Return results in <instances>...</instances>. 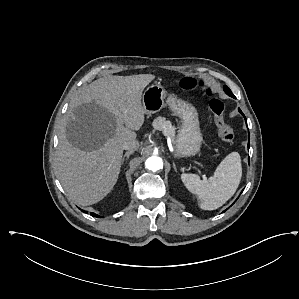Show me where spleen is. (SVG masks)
<instances>
[{
	"mask_svg": "<svg viewBox=\"0 0 299 299\" xmlns=\"http://www.w3.org/2000/svg\"><path fill=\"white\" fill-rule=\"evenodd\" d=\"M242 177L239 153L228 154L209 179L201 180L196 174L183 173L185 187L199 200L200 208L215 210L225 204L236 192Z\"/></svg>",
	"mask_w": 299,
	"mask_h": 299,
	"instance_id": "1",
	"label": "spleen"
}]
</instances>
